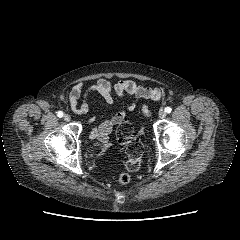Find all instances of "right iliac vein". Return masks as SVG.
<instances>
[{
	"mask_svg": "<svg viewBox=\"0 0 240 240\" xmlns=\"http://www.w3.org/2000/svg\"><path fill=\"white\" fill-rule=\"evenodd\" d=\"M64 120L67 121V122L70 121L71 116L69 114L64 115Z\"/></svg>",
	"mask_w": 240,
	"mask_h": 240,
	"instance_id": "63e3f726",
	"label": "right iliac vein"
}]
</instances>
